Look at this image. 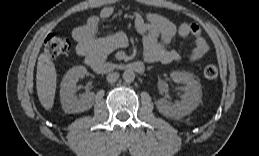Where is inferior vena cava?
Returning a JSON list of instances; mask_svg holds the SVG:
<instances>
[{
  "label": "inferior vena cava",
  "mask_w": 259,
  "mask_h": 156,
  "mask_svg": "<svg viewBox=\"0 0 259 156\" xmlns=\"http://www.w3.org/2000/svg\"><path fill=\"white\" fill-rule=\"evenodd\" d=\"M119 78V74L117 72H112L107 75V82L114 83Z\"/></svg>",
  "instance_id": "602c4592"
}]
</instances>
